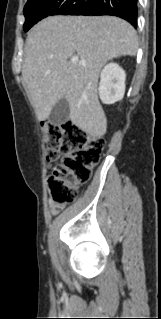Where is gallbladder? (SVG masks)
<instances>
[{"mask_svg":"<svg viewBox=\"0 0 161 319\" xmlns=\"http://www.w3.org/2000/svg\"><path fill=\"white\" fill-rule=\"evenodd\" d=\"M70 107L66 98L60 99L52 108L49 122L53 125H61L69 120Z\"/></svg>","mask_w":161,"mask_h":319,"instance_id":"gallbladder-1","label":"gallbladder"}]
</instances>
